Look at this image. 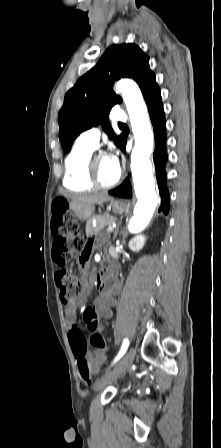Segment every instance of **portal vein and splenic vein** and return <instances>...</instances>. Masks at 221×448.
<instances>
[{
  "label": "portal vein and splenic vein",
  "instance_id": "1",
  "mask_svg": "<svg viewBox=\"0 0 221 448\" xmlns=\"http://www.w3.org/2000/svg\"><path fill=\"white\" fill-rule=\"evenodd\" d=\"M115 227H116V224H112V225L108 226L107 231L112 232Z\"/></svg>",
  "mask_w": 221,
  "mask_h": 448
}]
</instances>
